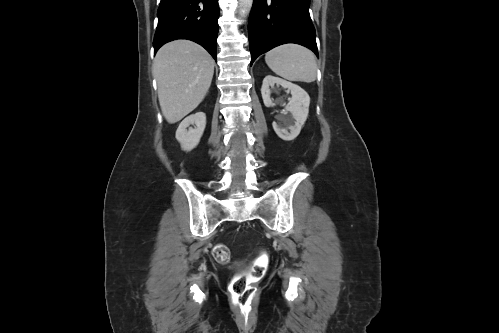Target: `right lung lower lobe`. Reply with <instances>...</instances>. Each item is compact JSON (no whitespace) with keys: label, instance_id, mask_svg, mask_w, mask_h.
Instances as JSON below:
<instances>
[{"label":"right lung lower lobe","instance_id":"right-lung-lower-lobe-1","mask_svg":"<svg viewBox=\"0 0 499 333\" xmlns=\"http://www.w3.org/2000/svg\"><path fill=\"white\" fill-rule=\"evenodd\" d=\"M157 15L154 54L167 42L189 39L216 59L218 0H161Z\"/></svg>","mask_w":499,"mask_h":333}]
</instances>
